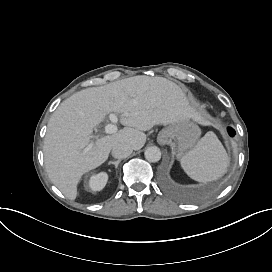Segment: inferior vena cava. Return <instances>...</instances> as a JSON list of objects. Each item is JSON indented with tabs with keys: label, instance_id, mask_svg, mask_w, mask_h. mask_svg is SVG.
<instances>
[{
	"label": "inferior vena cava",
	"instance_id": "inferior-vena-cava-1",
	"mask_svg": "<svg viewBox=\"0 0 272 272\" xmlns=\"http://www.w3.org/2000/svg\"><path fill=\"white\" fill-rule=\"evenodd\" d=\"M132 151L133 149L131 146L124 143H118L112 148V156L117 159H123L128 157Z\"/></svg>",
	"mask_w": 272,
	"mask_h": 272
}]
</instances>
